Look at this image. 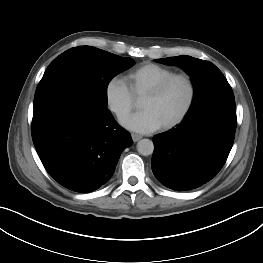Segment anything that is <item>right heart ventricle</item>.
<instances>
[{
	"instance_id": "right-heart-ventricle-1",
	"label": "right heart ventricle",
	"mask_w": 263,
	"mask_h": 263,
	"mask_svg": "<svg viewBox=\"0 0 263 263\" xmlns=\"http://www.w3.org/2000/svg\"><path fill=\"white\" fill-rule=\"evenodd\" d=\"M173 73V70L165 66L145 63L126 73L124 82L134 97H140L156 83Z\"/></svg>"
}]
</instances>
